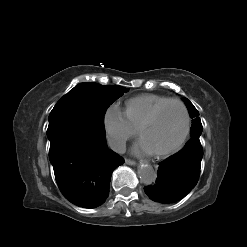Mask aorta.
I'll return each instance as SVG.
<instances>
[{
  "mask_svg": "<svg viewBox=\"0 0 247 247\" xmlns=\"http://www.w3.org/2000/svg\"><path fill=\"white\" fill-rule=\"evenodd\" d=\"M138 176L142 183L151 185L155 183L157 174L154 168L149 164H142L138 168Z\"/></svg>",
  "mask_w": 247,
  "mask_h": 247,
  "instance_id": "1",
  "label": "aorta"
}]
</instances>
